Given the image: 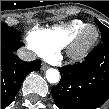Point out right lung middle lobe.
Returning <instances> with one entry per match:
<instances>
[{
	"label": "right lung middle lobe",
	"mask_w": 109,
	"mask_h": 109,
	"mask_svg": "<svg viewBox=\"0 0 109 109\" xmlns=\"http://www.w3.org/2000/svg\"><path fill=\"white\" fill-rule=\"evenodd\" d=\"M1 35H5L8 38L14 39V40H20V32L9 27L7 24L1 22Z\"/></svg>",
	"instance_id": "dd1d6c3e"
}]
</instances>
